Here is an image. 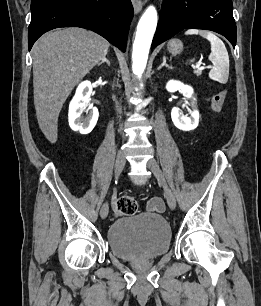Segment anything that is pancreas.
Segmentation results:
<instances>
[{
	"label": "pancreas",
	"instance_id": "cf45deb5",
	"mask_svg": "<svg viewBox=\"0 0 261 306\" xmlns=\"http://www.w3.org/2000/svg\"><path fill=\"white\" fill-rule=\"evenodd\" d=\"M194 73L197 74V76L201 75L200 71H195Z\"/></svg>",
	"mask_w": 261,
	"mask_h": 306
}]
</instances>
